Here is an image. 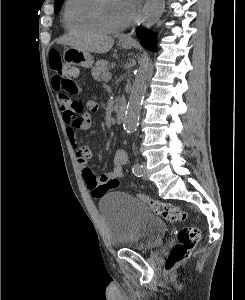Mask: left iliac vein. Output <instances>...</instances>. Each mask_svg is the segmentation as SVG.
I'll list each match as a JSON object with an SVG mask.
<instances>
[{"instance_id":"obj_1","label":"left iliac vein","mask_w":245,"mask_h":300,"mask_svg":"<svg viewBox=\"0 0 245 300\" xmlns=\"http://www.w3.org/2000/svg\"><path fill=\"white\" fill-rule=\"evenodd\" d=\"M142 168H141V176L144 180H148V176H147V172H146V163L143 162L141 164Z\"/></svg>"}]
</instances>
